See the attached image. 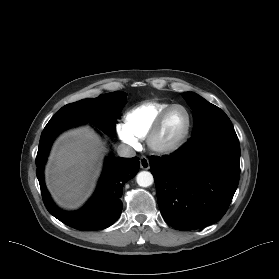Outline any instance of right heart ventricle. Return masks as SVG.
<instances>
[{"instance_id": "1", "label": "right heart ventricle", "mask_w": 279, "mask_h": 279, "mask_svg": "<svg viewBox=\"0 0 279 279\" xmlns=\"http://www.w3.org/2000/svg\"><path fill=\"white\" fill-rule=\"evenodd\" d=\"M172 103L167 101L144 102L124 115V126L137 139L146 138L159 114Z\"/></svg>"}]
</instances>
